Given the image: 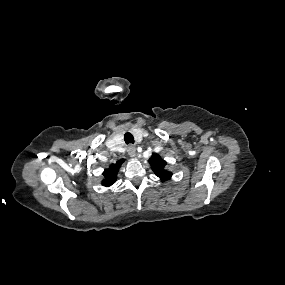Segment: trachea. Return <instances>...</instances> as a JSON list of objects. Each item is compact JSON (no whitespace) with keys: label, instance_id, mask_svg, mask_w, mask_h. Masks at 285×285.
Returning a JSON list of instances; mask_svg holds the SVG:
<instances>
[{"label":"trachea","instance_id":"3493384b","mask_svg":"<svg viewBox=\"0 0 285 285\" xmlns=\"http://www.w3.org/2000/svg\"><path fill=\"white\" fill-rule=\"evenodd\" d=\"M124 141L126 144H134V137L131 133L127 132L124 135Z\"/></svg>","mask_w":285,"mask_h":285}]
</instances>
